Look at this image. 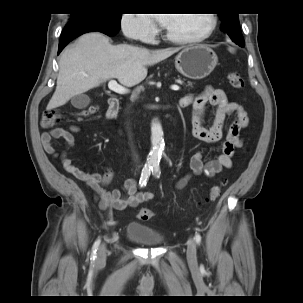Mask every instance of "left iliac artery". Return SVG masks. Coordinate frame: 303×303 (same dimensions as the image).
I'll return each instance as SVG.
<instances>
[{"label": "left iliac artery", "instance_id": "left-iliac-artery-1", "mask_svg": "<svg viewBox=\"0 0 303 303\" xmlns=\"http://www.w3.org/2000/svg\"><path fill=\"white\" fill-rule=\"evenodd\" d=\"M152 172H153V175L155 176V177H159L160 176V168L158 167V166H154L153 168H152ZM198 230V229H197ZM195 240H196V243L197 244H200V242H201V235L199 234V232H196V234H195Z\"/></svg>", "mask_w": 303, "mask_h": 303}]
</instances>
